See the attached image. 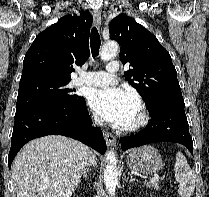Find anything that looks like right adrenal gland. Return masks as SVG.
Listing matches in <instances>:
<instances>
[{
	"label": "right adrenal gland",
	"instance_id": "1",
	"mask_svg": "<svg viewBox=\"0 0 209 197\" xmlns=\"http://www.w3.org/2000/svg\"><path fill=\"white\" fill-rule=\"evenodd\" d=\"M87 174H88V170H84L83 171V174H82V178L84 179V180H86L87 179ZM80 183H81V180H80Z\"/></svg>",
	"mask_w": 209,
	"mask_h": 197
}]
</instances>
